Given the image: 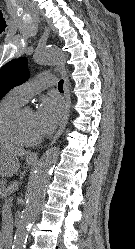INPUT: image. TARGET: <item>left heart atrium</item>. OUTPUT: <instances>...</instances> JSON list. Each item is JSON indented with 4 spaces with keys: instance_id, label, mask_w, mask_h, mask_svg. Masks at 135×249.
Segmentation results:
<instances>
[{
    "instance_id": "obj_1",
    "label": "left heart atrium",
    "mask_w": 135,
    "mask_h": 249,
    "mask_svg": "<svg viewBox=\"0 0 135 249\" xmlns=\"http://www.w3.org/2000/svg\"><path fill=\"white\" fill-rule=\"evenodd\" d=\"M65 110L59 97L45 98L35 112V124L40 135L49 134L61 121Z\"/></svg>"
}]
</instances>
